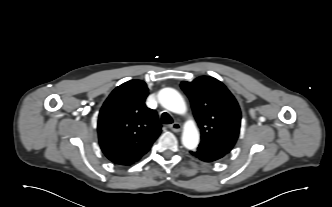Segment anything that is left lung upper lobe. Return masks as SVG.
I'll return each instance as SVG.
<instances>
[{
  "instance_id": "left-lung-upper-lobe-1",
  "label": "left lung upper lobe",
  "mask_w": 332,
  "mask_h": 207,
  "mask_svg": "<svg viewBox=\"0 0 332 207\" xmlns=\"http://www.w3.org/2000/svg\"><path fill=\"white\" fill-rule=\"evenodd\" d=\"M189 97L194 117L201 130L199 148L226 155L233 148L240 130L239 105L219 80L201 76L192 82H182Z\"/></svg>"
}]
</instances>
